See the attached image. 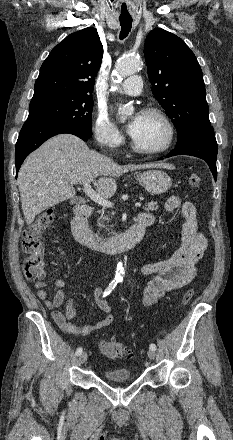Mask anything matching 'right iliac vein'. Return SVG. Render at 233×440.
Here are the masks:
<instances>
[{"mask_svg": "<svg viewBox=\"0 0 233 440\" xmlns=\"http://www.w3.org/2000/svg\"><path fill=\"white\" fill-rule=\"evenodd\" d=\"M86 361H87V353H86V352H83V353H81L80 356H79V363H80V364H83V363H85Z\"/></svg>", "mask_w": 233, "mask_h": 440, "instance_id": "obj_1", "label": "right iliac vein"}]
</instances>
